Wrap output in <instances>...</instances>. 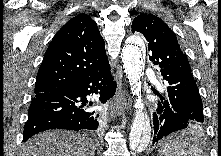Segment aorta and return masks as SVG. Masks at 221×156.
<instances>
[{
	"label": "aorta",
	"mask_w": 221,
	"mask_h": 156,
	"mask_svg": "<svg viewBox=\"0 0 221 156\" xmlns=\"http://www.w3.org/2000/svg\"><path fill=\"white\" fill-rule=\"evenodd\" d=\"M122 63L135 100V117L129 134V147L134 151L147 148L151 139V125L143 112L141 77L143 76L144 42L140 36H131L122 49Z\"/></svg>",
	"instance_id": "762f6f07"
}]
</instances>
